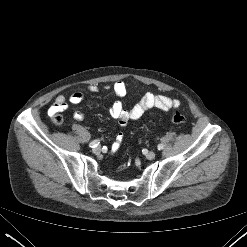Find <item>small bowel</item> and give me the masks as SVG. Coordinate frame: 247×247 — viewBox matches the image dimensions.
<instances>
[{
	"label": "small bowel",
	"instance_id": "obj_1",
	"mask_svg": "<svg viewBox=\"0 0 247 247\" xmlns=\"http://www.w3.org/2000/svg\"><path fill=\"white\" fill-rule=\"evenodd\" d=\"M111 88L114 94L119 98H123L127 93V87L123 81L115 82ZM88 89L91 92L98 91V87L95 85L89 86ZM83 100L84 96L80 92L73 93L69 100H67L64 95H58L55 98L53 105L50 107L49 113L54 115L55 113L66 110L68 107V101L72 104H80ZM179 106L180 101L178 99L156 95L149 92L130 109H126L120 100L115 101L109 109V114L112 118L118 120L121 126H125L129 121L141 118L146 111L152 108L167 112L170 109L178 108ZM73 117L77 121H82L84 115L82 112L77 111L74 113ZM120 138L123 139L122 133L117 134L111 147L112 153H115L119 149L121 145V142L119 141Z\"/></svg>",
	"mask_w": 247,
	"mask_h": 247
}]
</instances>
